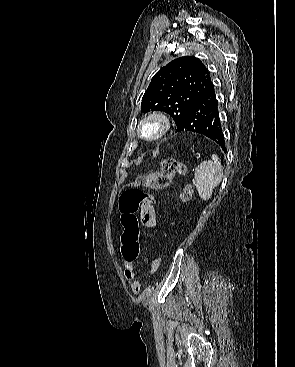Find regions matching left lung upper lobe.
Listing matches in <instances>:
<instances>
[{"mask_svg": "<svg viewBox=\"0 0 295 367\" xmlns=\"http://www.w3.org/2000/svg\"><path fill=\"white\" fill-rule=\"evenodd\" d=\"M209 81L210 74L199 58L174 59L153 76L141 101L142 112L164 111L178 127Z\"/></svg>", "mask_w": 295, "mask_h": 367, "instance_id": "1", "label": "left lung upper lobe"}]
</instances>
